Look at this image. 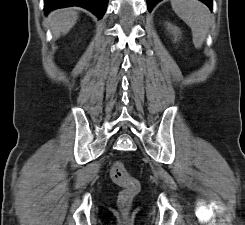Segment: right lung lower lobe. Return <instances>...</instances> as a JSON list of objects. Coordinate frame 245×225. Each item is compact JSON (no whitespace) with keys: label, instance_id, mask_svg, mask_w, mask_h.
I'll use <instances>...</instances> for the list:
<instances>
[{"label":"right lung lower lobe","instance_id":"obj_1","mask_svg":"<svg viewBox=\"0 0 245 225\" xmlns=\"http://www.w3.org/2000/svg\"><path fill=\"white\" fill-rule=\"evenodd\" d=\"M108 0H44V9L48 13L51 10L70 6H80L96 14L99 19L106 12Z\"/></svg>","mask_w":245,"mask_h":225}]
</instances>
